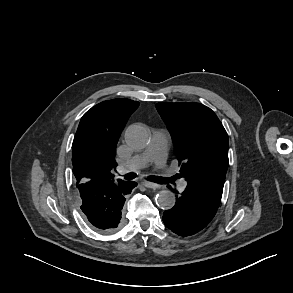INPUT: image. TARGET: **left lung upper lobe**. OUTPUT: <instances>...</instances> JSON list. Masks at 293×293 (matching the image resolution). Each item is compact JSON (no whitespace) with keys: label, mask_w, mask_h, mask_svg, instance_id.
<instances>
[{"label":"left lung upper lobe","mask_w":293,"mask_h":293,"mask_svg":"<svg viewBox=\"0 0 293 293\" xmlns=\"http://www.w3.org/2000/svg\"><path fill=\"white\" fill-rule=\"evenodd\" d=\"M156 107L172 135L181 164L178 177L219 205L228 167V135L222 123L200 103L161 102Z\"/></svg>","instance_id":"1"}]
</instances>
